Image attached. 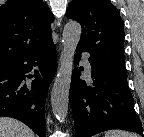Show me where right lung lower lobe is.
Masks as SVG:
<instances>
[{
	"label": "right lung lower lobe",
	"instance_id": "right-lung-lower-lobe-1",
	"mask_svg": "<svg viewBox=\"0 0 144 137\" xmlns=\"http://www.w3.org/2000/svg\"><path fill=\"white\" fill-rule=\"evenodd\" d=\"M56 70L52 39L1 67L0 116L18 119L38 136L46 137V94Z\"/></svg>",
	"mask_w": 144,
	"mask_h": 137
}]
</instances>
